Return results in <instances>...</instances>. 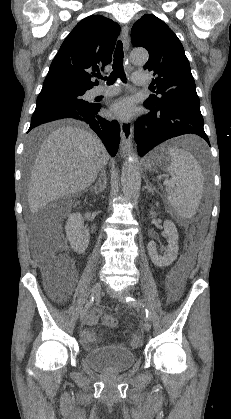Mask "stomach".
<instances>
[{
  "instance_id": "obj_1",
  "label": "stomach",
  "mask_w": 231,
  "mask_h": 419,
  "mask_svg": "<svg viewBox=\"0 0 231 419\" xmlns=\"http://www.w3.org/2000/svg\"><path fill=\"white\" fill-rule=\"evenodd\" d=\"M156 164V155L155 154H150L149 156L146 157L145 161H144V165L146 168L148 169H152Z\"/></svg>"
}]
</instances>
